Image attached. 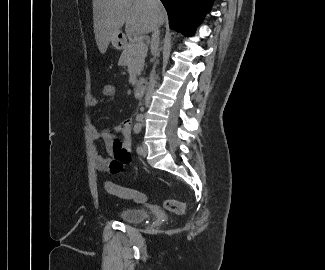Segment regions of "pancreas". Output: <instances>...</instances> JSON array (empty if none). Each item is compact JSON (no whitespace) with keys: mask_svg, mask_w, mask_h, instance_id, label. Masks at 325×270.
Wrapping results in <instances>:
<instances>
[{"mask_svg":"<svg viewBox=\"0 0 325 270\" xmlns=\"http://www.w3.org/2000/svg\"><path fill=\"white\" fill-rule=\"evenodd\" d=\"M147 46L140 48L137 43L130 41L124 48L120 59V66H132L135 65L136 72L139 75L144 67V60L147 55Z\"/></svg>","mask_w":325,"mask_h":270,"instance_id":"cf45deb5","label":"pancreas"}]
</instances>
